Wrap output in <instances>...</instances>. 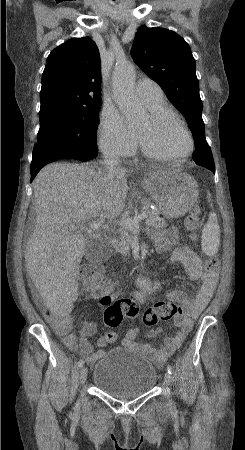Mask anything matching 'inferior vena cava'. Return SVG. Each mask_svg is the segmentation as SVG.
I'll list each match as a JSON object with an SVG mask.
<instances>
[{
	"label": "inferior vena cava",
	"instance_id": "inferior-vena-cava-1",
	"mask_svg": "<svg viewBox=\"0 0 245 450\" xmlns=\"http://www.w3.org/2000/svg\"><path fill=\"white\" fill-rule=\"evenodd\" d=\"M103 164L105 166L106 171L115 172L117 170V166L119 164V157L113 153H104L103 154Z\"/></svg>",
	"mask_w": 245,
	"mask_h": 450
}]
</instances>
